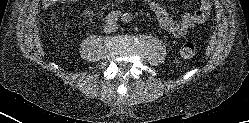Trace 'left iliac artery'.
Listing matches in <instances>:
<instances>
[{
	"label": "left iliac artery",
	"mask_w": 249,
	"mask_h": 123,
	"mask_svg": "<svg viewBox=\"0 0 249 123\" xmlns=\"http://www.w3.org/2000/svg\"><path fill=\"white\" fill-rule=\"evenodd\" d=\"M121 19L123 22L129 23L132 20V16L129 13H124Z\"/></svg>",
	"instance_id": "44dca946"
}]
</instances>
